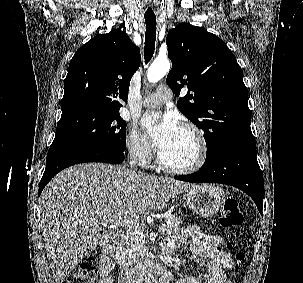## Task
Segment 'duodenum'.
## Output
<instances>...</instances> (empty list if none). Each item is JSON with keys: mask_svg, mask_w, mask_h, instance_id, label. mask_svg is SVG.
I'll list each match as a JSON object with an SVG mask.
<instances>
[{"mask_svg": "<svg viewBox=\"0 0 303 283\" xmlns=\"http://www.w3.org/2000/svg\"><path fill=\"white\" fill-rule=\"evenodd\" d=\"M108 252L114 251L112 244L106 246ZM151 272H156L163 276L166 274L165 267L162 263H142L141 265L127 271L126 283H141V280Z\"/></svg>", "mask_w": 303, "mask_h": 283, "instance_id": "obj_1", "label": "duodenum"}]
</instances>
